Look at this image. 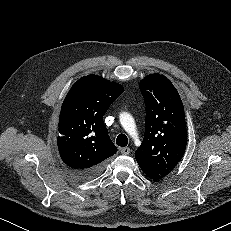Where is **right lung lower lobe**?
<instances>
[{
  "mask_svg": "<svg viewBox=\"0 0 231 231\" xmlns=\"http://www.w3.org/2000/svg\"><path fill=\"white\" fill-rule=\"evenodd\" d=\"M102 167H97V168H93V169H89L86 170L84 172H75V174L79 177V178H91L96 176L100 171H101Z\"/></svg>",
  "mask_w": 231,
  "mask_h": 231,
  "instance_id": "right-lung-lower-lobe-1",
  "label": "right lung lower lobe"
}]
</instances>
